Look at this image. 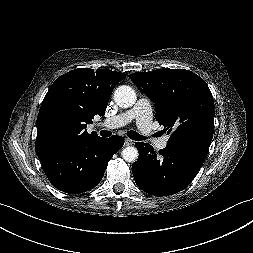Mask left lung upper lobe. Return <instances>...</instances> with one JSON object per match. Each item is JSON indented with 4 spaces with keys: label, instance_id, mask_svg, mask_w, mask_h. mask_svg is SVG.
Wrapping results in <instances>:
<instances>
[{
    "label": "left lung upper lobe",
    "instance_id": "5c2ea615",
    "mask_svg": "<svg viewBox=\"0 0 253 253\" xmlns=\"http://www.w3.org/2000/svg\"><path fill=\"white\" fill-rule=\"evenodd\" d=\"M155 104L156 120L172 132L167 147L210 146L214 101L208 85L185 69H157L129 75Z\"/></svg>",
    "mask_w": 253,
    "mask_h": 253
}]
</instances>
